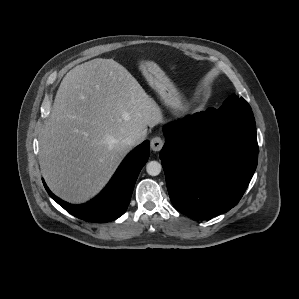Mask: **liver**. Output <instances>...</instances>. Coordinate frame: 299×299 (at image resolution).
<instances>
[{"label": "liver", "instance_id": "liver-1", "mask_svg": "<svg viewBox=\"0 0 299 299\" xmlns=\"http://www.w3.org/2000/svg\"><path fill=\"white\" fill-rule=\"evenodd\" d=\"M159 92L171 102L164 86ZM160 121L156 103L118 62L96 58L76 66L63 78L40 136L47 185L66 202L87 201L131 150L122 140L146 136Z\"/></svg>", "mask_w": 299, "mask_h": 299}]
</instances>
